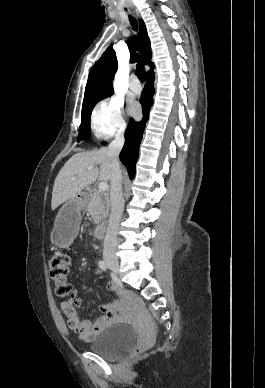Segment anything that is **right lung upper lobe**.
Here are the masks:
<instances>
[{"label": "right lung upper lobe", "mask_w": 265, "mask_h": 388, "mask_svg": "<svg viewBox=\"0 0 265 388\" xmlns=\"http://www.w3.org/2000/svg\"><path fill=\"white\" fill-rule=\"evenodd\" d=\"M127 45L131 52V59L134 60V51L136 46H138L143 54L144 63L151 67L148 72L154 69V64L151 61L152 52L150 40L147 35L145 24L142 20L140 21V32L138 36L130 38ZM117 66L116 53L113 50L112 45H110L102 54L100 59L94 64L89 73L83 102L93 96L113 90L111 82L117 71Z\"/></svg>", "instance_id": "obj_1"}]
</instances>
